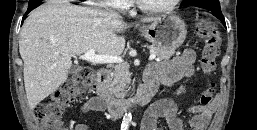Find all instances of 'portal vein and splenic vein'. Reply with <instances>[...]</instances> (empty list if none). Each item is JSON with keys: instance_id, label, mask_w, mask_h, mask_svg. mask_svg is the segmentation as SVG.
<instances>
[{"instance_id": "portal-vein-and-splenic-vein-1", "label": "portal vein and splenic vein", "mask_w": 257, "mask_h": 130, "mask_svg": "<svg viewBox=\"0 0 257 130\" xmlns=\"http://www.w3.org/2000/svg\"><path fill=\"white\" fill-rule=\"evenodd\" d=\"M82 60L88 61L90 63H122L123 60L119 56L112 55H97L94 50H89L85 54L80 55L79 57ZM156 58V55L153 51L149 56V60L152 61Z\"/></svg>"}]
</instances>
